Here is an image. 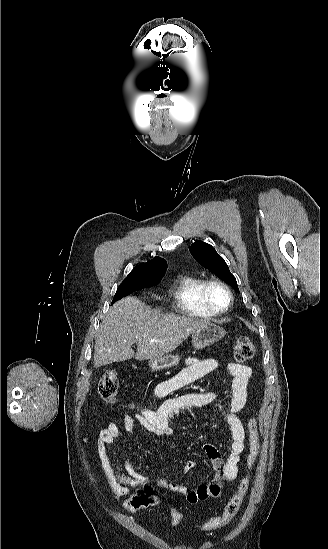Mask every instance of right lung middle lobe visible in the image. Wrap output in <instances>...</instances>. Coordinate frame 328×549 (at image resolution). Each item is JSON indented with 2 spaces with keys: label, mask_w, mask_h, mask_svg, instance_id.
Returning a JSON list of instances; mask_svg holds the SVG:
<instances>
[{
  "label": "right lung middle lobe",
  "mask_w": 328,
  "mask_h": 549,
  "mask_svg": "<svg viewBox=\"0 0 328 549\" xmlns=\"http://www.w3.org/2000/svg\"><path fill=\"white\" fill-rule=\"evenodd\" d=\"M164 274L165 271L150 268L131 272L118 287L112 303L127 296L131 292L158 284Z\"/></svg>",
  "instance_id": "right-lung-middle-lobe-1"
}]
</instances>
